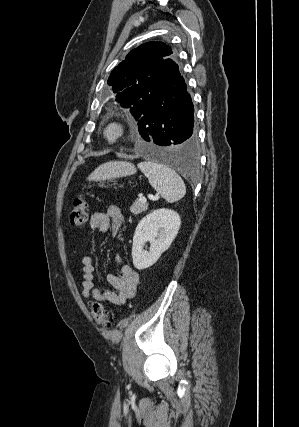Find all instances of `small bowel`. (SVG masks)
Listing matches in <instances>:
<instances>
[{
    "label": "small bowel",
    "mask_w": 299,
    "mask_h": 427,
    "mask_svg": "<svg viewBox=\"0 0 299 427\" xmlns=\"http://www.w3.org/2000/svg\"><path fill=\"white\" fill-rule=\"evenodd\" d=\"M124 222V216L120 208L111 205L104 212H95L91 215L89 224L92 228L106 232L110 229L112 235H117ZM120 264V274H109L108 283L114 290H107L95 287L94 285V266L90 256H83L80 260L81 270L83 272L82 297L86 300L92 298L95 301L108 303L112 305H122L126 300L132 298L139 283L138 272L129 265L122 264L121 258L116 257Z\"/></svg>",
    "instance_id": "c3829d8e"
}]
</instances>
